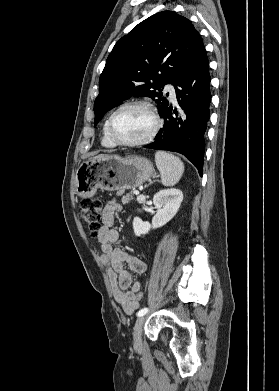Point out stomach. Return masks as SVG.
<instances>
[{
  "label": "stomach",
  "instance_id": "stomach-1",
  "mask_svg": "<svg viewBox=\"0 0 279 391\" xmlns=\"http://www.w3.org/2000/svg\"><path fill=\"white\" fill-rule=\"evenodd\" d=\"M154 173L152 163L144 157L109 156L83 162L76 172L78 196L91 198L97 189L123 191L142 185Z\"/></svg>",
  "mask_w": 279,
  "mask_h": 391
}]
</instances>
